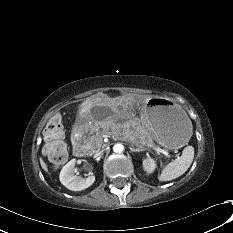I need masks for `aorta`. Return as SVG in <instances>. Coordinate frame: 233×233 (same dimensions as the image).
<instances>
[{"mask_svg": "<svg viewBox=\"0 0 233 233\" xmlns=\"http://www.w3.org/2000/svg\"><path fill=\"white\" fill-rule=\"evenodd\" d=\"M123 150H124V146H123L121 143H117V144H115L114 147H113V151H114L115 153H122Z\"/></svg>", "mask_w": 233, "mask_h": 233, "instance_id": "obj_1", "label": "aorta"}]
</instances>
